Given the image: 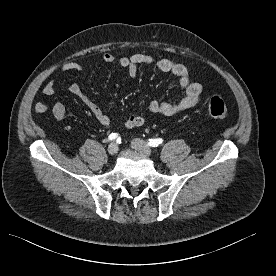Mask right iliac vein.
<instances>
[{"instance_id":"right-iliac-vein-1","label":"right iliac vein","mask_w":276,"mask_h":276,"mask_svg":"<svg viewBox=\"0 0 276 276\" xmlns=\"http://www.w3.org/2000/svg\"><path fill=\"white\" fill-rule=\"evenodd\" d=\"M118 150H119V148H118L117 143L112 142V143L109 144V146H108L109 154L116 155L118 153Z\"/></svg>"}]
</instances>
